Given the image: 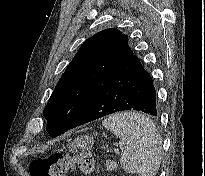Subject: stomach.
Listing matches in <instances>:
<instances>
[{"instance_id": "1", "label": "stomach", "mask_w": 205, "mask_h": 176, "mask_svg": "<svg viewBox=\"0 0 205 176\" xmlns=\"http://www.w3.org/2000/svg\"><path fill=\"white\" fill-rule=\"evenodd\" d=\"M94 143L93 137L84 135L76 138L71 144L70 149L72 151L78 150H89L92 148Z\"/></svg>"}]
</instances>
